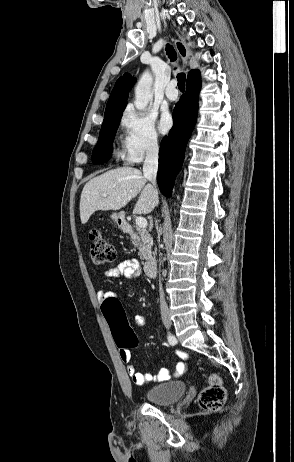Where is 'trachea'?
<instances>
[{"instance_id":"3493384b","label":"trachea","mask_w":294,"mask_h":462,"mask_svg":"<svg viewBox=\"0 0 294 462\" xmlns=\"http://www.w3.org/2000/svg\"><path fill=\"white\" fill-rule=\"evenodd\" d=\"M166 53L169 56V58L171 59V61L176 60V52H175V50L173 49V47L171 45H167ZM177 79H178V88L181 91H184L185 90L186 75L184 73H179L177 75Z\"/></svg>"}]
</instances>
